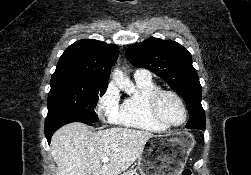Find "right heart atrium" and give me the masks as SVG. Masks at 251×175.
I'll return each instance as SVG.
<instances>
[{
	"label": "right heart atrium",
	"mask_w": 251,
	"mask_h": 175,
	"mask_svg": "<svg viewBox=\"0 0 251 175\" xmlns=\"http://www.w3.org/2000/svg\"><path fill=\"white\" fill-rule=\"evenodd\" d=\"M121 107V97L117 85L109 82L95 104V112L103 122H116Z\"/></svg>",
	"instance_id": "1"
}]
</instances>
